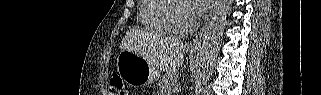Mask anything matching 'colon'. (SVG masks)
Masks as SVG:
<instances>
[{
    "label": "colon",
    "instance_id": "obj_1",
    "mask_svg": "<svg viewBox=\"0 0 321 95\" xmlns=\"http://www.w3.org/2000/svg\"><path fill=\"white\" fill-rule=\"evenodd\" d=\"M111 90L119 95H128V90L123 83L122 79L117 75L113 74L110 79Z\"/></svg>",
    "mask_w": 321,
    "mask_h": 95
}]
</instances>
